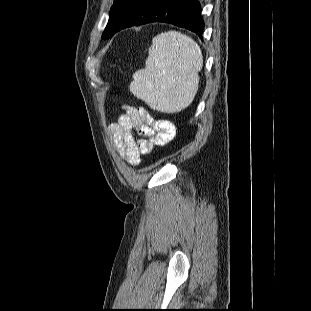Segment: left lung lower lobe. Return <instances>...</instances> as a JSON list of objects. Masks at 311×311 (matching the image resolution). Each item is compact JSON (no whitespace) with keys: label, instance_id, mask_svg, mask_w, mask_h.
I'll return each instance as SVG.
<instances>
[{"label":"left lung lower lobe","instance_id":"0a47b994","mask_svg":"<svg viewBox=\"0 0 311 311\" xmlns=\"http://www.w3.org/2000/svg\"><path fill=\"white\" fill-rule=\"evenodd\" d=\"M152 22L186 28L202 38L204 22L197 0H127L118 13L109 38L124 28Z\"/></svg>","mask_w":311,"mask_h":311}]
</instances>
